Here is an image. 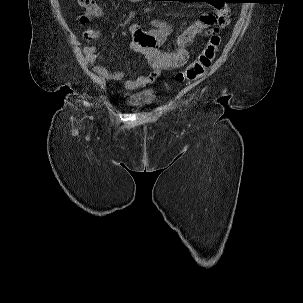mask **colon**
<instances>
[{
  "mask_svg": "<svg viewBox=\"0 0 303 303\" xmlns=\"http://www.w3.org/2000/svg\"><path fill=\"white\" fill-rule=\"evenodd\" d=\"M81 6H89L94 3V0H78ZM87 17L81 16L79 22L81 24L86 23ZM88 38L92 37L90 31L86 33ZM145 41L150 42V39L146 38ZM221 37L219 31L211 32V36L207 45L204 47L202 52L199 54L197 59L187 66L183 71L177 74L178 81H195L203 77L215 58L217 49L220 45Z\"/></svg>",
  "mask_w": 303,
  "mask_h": 303,
  "instance_id": "1",
  "label": "colon"
}]
</instances>
